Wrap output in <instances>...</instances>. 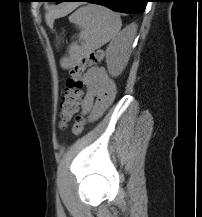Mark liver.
I'll list each match as a JSON object with an SVG mask.
<instances>
[{"mask_svg": "<svg viewBox=\"0 0 202 217\" xmlns=\"http://www.w3.org/2000/svg\"><path fill=\"white\" fill-rule=\"evenodd\" d=\"M74 7L75 6L71 4L62 5L56 8L55 10L48 12L45 16L47 23L50 24L53 21V19L67 15L74 9Z\"/></svg>", "mask_w": 202, "mask_h": 217, "instance_id": "obj_1", "label": "liver"}]
</instances>
